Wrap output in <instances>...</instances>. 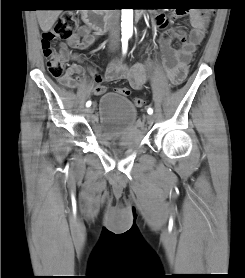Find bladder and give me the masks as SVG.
I'll return each mask as SVG.
<instances>
[{"label":"bladder","mask_w":245,"mask_h":278,"mask_svg":"<svg viewBox=\"0 0 245 278\" xmlns=\"http://www.w3.org/2000/svg\"><path fill=\"white\" fill-rule=\"evenodd\" d=\"M94 135L106 148L133 149L145 138L135 105L115 92L104 93L98 108Z\"/></svg>","instance_id":"1"}]
</instances>
